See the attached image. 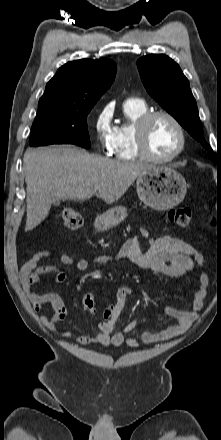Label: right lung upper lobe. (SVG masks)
Listing matches in <instances>:
<instances>
[{"mask_svg":"<svg viewBox=\"0 0 221 440\" xmlns=\"http://www.w3.org/2000/svg\"><path fill=\"white\" fill-rule=\"evenodd\" d=\"M117 66L110 59H81L59 68L39 102L95 105L114 81Z\"/></svg>","mask_w":221,"mask_h":440,"instance_id":"obj_1","label":"right lung upper lobe"}]
</instances>
